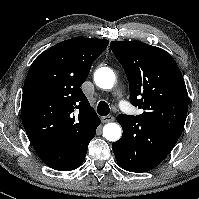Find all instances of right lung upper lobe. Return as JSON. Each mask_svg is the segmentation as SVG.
<instances>
[{"label": "right lung upper lobe", "mask_w": 199, "mask_h": 199, "mask_svg": "<svg viewBox=\"0 0 199 199\" xmlns=\"http://www.w3.org/2000/svg\"><path fill=\"white\" fill-rule=\"evenodd\" d=\"M108 40L77 37L42 52L23 88V126L38 156L64 158L66 144L92 133L100 119L81 90Z\"/></svg>", "instance_id": "right-lung-upper-lobe-1"}]
</instances>
